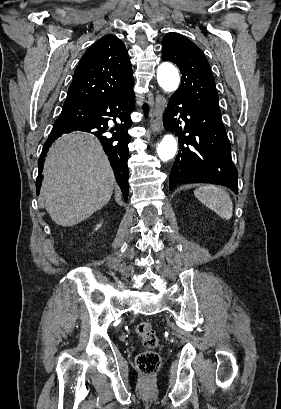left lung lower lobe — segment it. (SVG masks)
I'll list each match as a JSON object with an SVG mask.
<instances>
[{"label":"left lung lower lobe","instance_id":"left-lung-lower-lobe-1","mask_svg":"<svg viewBox=\"0 0 281 409\" xmlns=\"http://www.w3.org/2000/svg\"><path fill=\"white\" fill-rule=\"evenodd\" d=\"M178 113L185 122L184 130L179 127L181 121L175 118ZM163 123L168 131L176 133L180 148L170 173V189L177 183H213L238 194V172L231 160V147L220 116L174 93Z\"/></svg>","mask_w":281,"mask_h":409}]
</instances>
